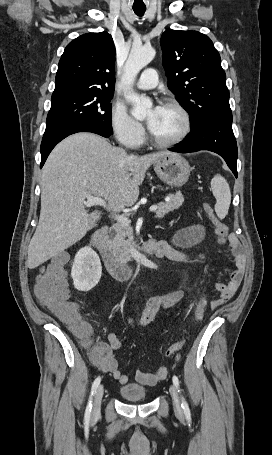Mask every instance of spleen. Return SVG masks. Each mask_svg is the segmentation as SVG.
I'll list each match as a JSON object with an SVG mask.
<instances>
[{
  "label": "spleen",
  "instance_id": "spleen-1",
  "mask_svg": "<svg viewBox=\"0 0 272 455\" xmlns=\"http://www.w3.org/2000/svg\"><path fill=\"white\" fill-rule=\"evenodd\" d=\"M211 189L216 199L215 212L219 219H224L231 203L229 184L222 175L217 174L211 180Z\"/></svg>",
  "mask_w": 272,
  "mask_h": 455
}]
</instances>
